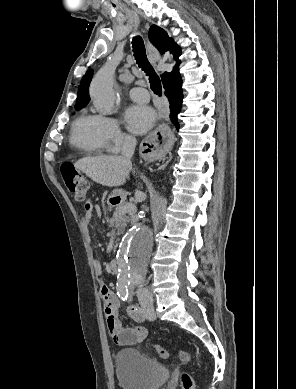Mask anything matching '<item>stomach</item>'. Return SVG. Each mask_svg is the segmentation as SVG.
Here are the masks:
<instances>
[{
  "label": "stomach",
  "mask_w": 296,
  "mask_h": 389,
  "mask_svg": "<svg viewBox=\"0 0 296 389\" xmlns=\"http://www.w3.org/2000/svg\"><path fill=\"white\" fill-rule=\"evenodd\" d=\"M123 198L124 197V192L122 190H119V189H116L114 190L111 195H110V199H113V198Z\"/></svg>",
  "instance_id": "stomach-1"
}]
</instances>
